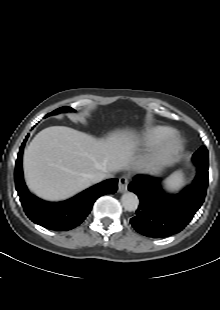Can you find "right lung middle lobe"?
<instances>
[{"label": "right lung middle lobe", "mask_w": 220, "mask_h": 310, "mask_svg": "<svg viewBox=\"0 0 220 310\" xmlns=\"http://www.w3.org/2000/svg\"><path fill=\"white\" fill-rule=\"evenodd\" d=\"M64 111H75L74 109L70 108V107H62V108H59L55 111H53L52 113H49L48 115L46 116H49L51 114H57V113H60V112H64Z\"/></svg>", "instance_id": "obj_1"}]
</instances>
